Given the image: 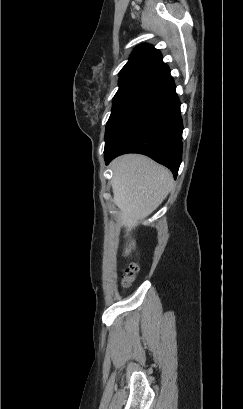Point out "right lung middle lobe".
Instances as JSON below:
<instances>
[{"mask_svg":"<svg viewBox=\"0 0 243 409\" xmlns=\"http://www.w3.org/2000/svg\"><path fill=\"white\" fill-rule=\"evenodd\" d=\"M153 78H134L119 82L113 98L112 112L106 125L105 148L136 107L160 84Z\"/></svg>","mask_w":243,"mask_h":409,"instance_id":"right-lung-middle-lobe-1","label":"right lung middle lobe"}]
</instances>
